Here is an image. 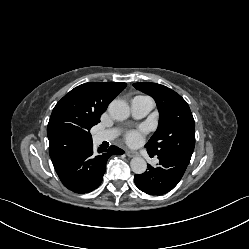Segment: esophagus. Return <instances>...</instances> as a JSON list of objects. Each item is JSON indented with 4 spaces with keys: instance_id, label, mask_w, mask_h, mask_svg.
Listing matches in <instances>:
<instances>
[{
    "instance_id": "esophagus-1",
    "label": "esophagus",
    "mask_w": 249,
    "mask_h": 249,
    "mask_svg": "<svg viewBox=\"0 0 249 249\" xmlns=\"http://www.w3.org/2000/svg\"><path fill=\"white\" fill-rule=\"evenodd\" d=\"M126 155L130 158L138 156V153L131 150H126Z\"/></svg>"
}]
</instances>
